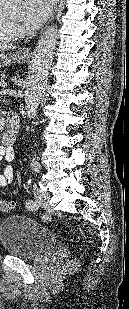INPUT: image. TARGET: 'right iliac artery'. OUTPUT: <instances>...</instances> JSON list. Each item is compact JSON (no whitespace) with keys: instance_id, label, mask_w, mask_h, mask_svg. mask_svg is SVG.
<instances>
[{"instance_id":"1","label":"right iliac artery","mask_w":129,"mask_h":309,"mask_svg":"<svg viewBox=\"0 0 129 309\" xmlns=\"http://www.w3.org/2000/svg\"><path fill=\"white\" fill-rule=\"evenodd\" d=\"M30 182H31V179L28 180V184H30Z\"/></svg>"}]
</instances>
